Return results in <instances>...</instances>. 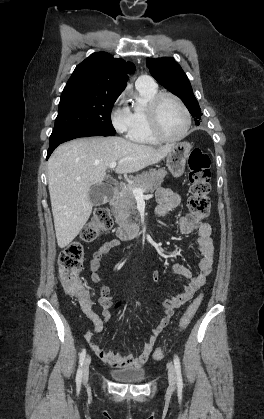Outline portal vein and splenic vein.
I'll use <instances>...</instances> for the list:
<instances>
[{
    "label": "portal vein and splenic vein",
    "mask_w": 264,
    "mask_h": 419,
    "mask_svg": "<svg viewBox=\"0 0 264 419\" xmlns=\"http://www.w3.org/2000/svg\"><path fill=\"white\" fill-rule=\"evenodd\" d=\"M116 165H117V162H112L109 165V168L110 169H114L116 167ZM131 191L134 194L135 198H144L145 197L144 194H143L144 193L143 189H140V188H132Z\"/></svg>",
    "instance_id": "obj_1"
}]
</instances>
